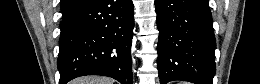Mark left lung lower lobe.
Listing matches in <instances>:
<instances>
[{
    "label": "left lung lower lobe",
    "instance_id": "left-lung-lower-lobe-1",
    "mask_svg": "<svg viewBox=\"0 0 260 84\" xmlns=\"http://www.w3.org/2000/svg\"><path fill=\"white\" fill-rule=\"evenodd\" d=\"M161 84H213L215 47L208 0H155Z\"/></svg>",
    "mask_w": 260,
    "mask_h": 84
}]
</instances>
